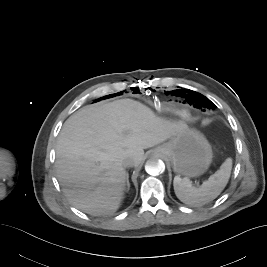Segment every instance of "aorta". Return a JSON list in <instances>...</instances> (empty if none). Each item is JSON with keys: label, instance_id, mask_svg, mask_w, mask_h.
Here are the masks:
<instances>
[{"label": "aorta", "instance_id": "762f6f07", "mask_svg": "<svg viewBox=\"0 0 267 267\" xmlns=\"http://www.w3.org/2000/svg\"><path fill=\"white\" fill-rule=\"evenodd\" d=\"M145 170L149 175L157 176L165 171V164L161 159L152 157L146 162Z\"/></svg>", "mask_w": 267, "mask_h": 267}]
</instances>
